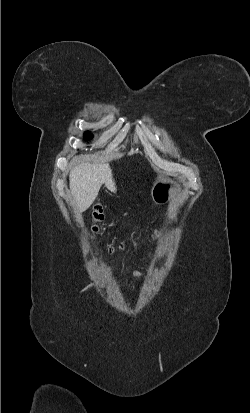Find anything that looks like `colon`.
Returning <instances> with one entry per match:
<instances>
[{
  "mask_svg": "<svg viewBox=\"0 0 250 413\" xmlns=\"http://www.w3.org/2000/svg\"><path fill=\"white\" fill-rule=\"evenodd\" d=\"M104 219V213H103V208L101 205H95L93 208V221L94 224L92 226V229L94 231H97L98 229V223L102 222Z\"/></svg>",
  "mask_w": 250,
  "mask_h": 413,
  "instance_id": "colon-1",
  "label": "colon"
}]
</instances>
